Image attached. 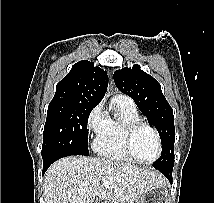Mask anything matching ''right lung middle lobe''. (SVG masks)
I'll list each match as a JSON object with an SVG mask.
<instances>
[{"instance_id":"dd1d6c3e","label":"right lung middle lobe","mask_w":214,"mask_h":203,"mask_svg":"<svg viewBox=\"0 0 214 203\" xmlns=\"http://www.w3.org/2000/svg\"><path fill=\"white\" fill-rule=\"evenodd\" d=\"M96 105L50 102L43 132L42 158L89 155L87 123Z\"/></svg>"}]
</instances>
